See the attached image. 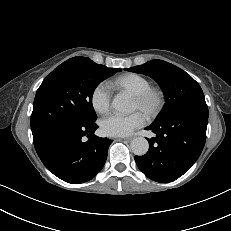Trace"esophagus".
<instances>
[{"mask_svg":"<svg viewBox=\"0 0 231 231\" xmlns=\"http://www.w3.org/2000/svg\"><path fill=\"white\" fill-rule=\"evenodd\" d=\"M120 139L124 140V141H131L132 140L131 137H121Z\"/></svg>","mask_w":231,"mask_h":231,"instance_id":"1","label":"esophagus"}]
</instances>
